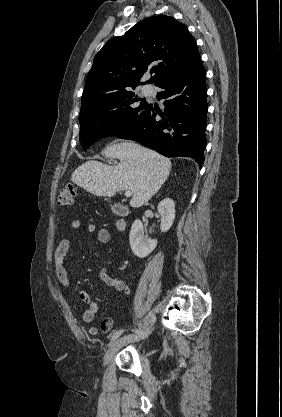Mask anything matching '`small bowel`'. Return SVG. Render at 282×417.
<instances>
[{
	"mask_svg": "<svg viewBox=\"0 0 282 417\" xmlns=\"http://www.w3.org/2000/svg\"><path fill=\"white\" fill-rule=\"evenodd\" d=\"M69 227L72 232H79L82 229V222L78 219H74L70 222ZM88 231L97 232L98 240L102 243H107L110 240V232L107 228H97V226L92 223L89 224ZM68 250L69 240L65 238L60 241L54 252L55 273L59 282L66 288L70 286L68 272L64 267V261L68 253ZM97 277L106 286L118 292H121L126 296L130 294V288L128 284L119 278L110 276L105 269H100L98 271ZM79 298L83 303L87 305V307L82 311V318L86 323H90L94 319L95 314L98 310V304L86 290H82L79 293ZM113 324V318L107 317L101 322V324L98 327H89L88 333L90 335H96L99 332H109L112 329Z\"/></svg>",
	"mask_w": 282,
	"mask_h": 417,
	"instance_id": "obj_1",
	"label": "small bowel"
}]
</instances>
